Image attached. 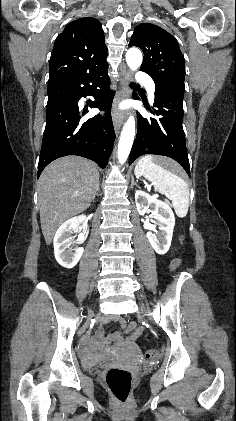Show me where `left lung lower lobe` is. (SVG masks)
<instances>
[{
  "label": "left lung lower lobe",
  "instance_id": "obj_1",
  "mask_svg": "<svg viewBox=\"0 0 236 421\" xmlns=\"http://www.w3.org/2000/svg\"><path fill=\"white\" fill-rule=\"evenodd\" d=\"M156 86L153 118L138 114V132L129 156V164L145 154L168 156L176 160L190 176L183 121L184 93L168 86Z\"/></svg>",
  "mask_w": 236,
  "mask_h": 421
}]
</instances>
